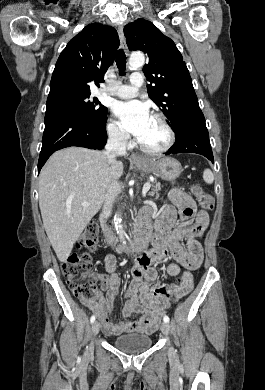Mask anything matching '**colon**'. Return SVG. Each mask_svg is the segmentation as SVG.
Segmentation results:
<instances>
[{
    "label": "colon",
    "instance_id": "obj_1",
    "mask_svg": "<svg viewBox=\"0 0 265 390\" xmlns=\"http://www.w3.org/2000/svg\"><path fill=\"white\" fill-rule=\"evenodd\" d=\"M191 192L198 200L203 210H211L214 207L213 197L205 193L201 186L192 185ZM98 224L90 222L80 237L77 247L93 249L98 241ZM62 273L65 276L72 293L81 300H93L99 296L96 287L97 275L92 270V259L88 253H72L62 264ZM178 284H174L172 289L166 294L170 300L177 299Z\"/></svg>",
    "mask_w": 265,
    "mask_h": 390
}]
</instances>
